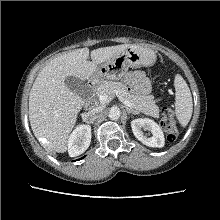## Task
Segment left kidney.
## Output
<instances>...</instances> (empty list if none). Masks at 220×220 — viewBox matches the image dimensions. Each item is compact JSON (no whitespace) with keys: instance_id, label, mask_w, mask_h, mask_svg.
I'll return each mask as SVG.
<instances>
[{"instance_id":"left-kidney-1","label":"left kidney","mask_w":220,"mask_h":220,"mask_svg":"<svg viewBox=\"0 0 220 220\" xmlns=\"http://www.w3.org/2000/svg\"><path fill=\"white\" fill-rule=\"evenodd\" d=\"M131 127L135 137L144 145L149 147L161 148L164 146V135L161 128L156 122L149 118H138L131 122ZM142 129L151 132L152 136L147 137L144 135Z\"/></svg>"}]
</instances>
